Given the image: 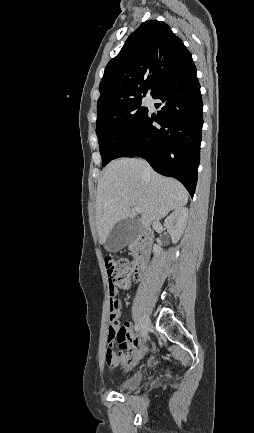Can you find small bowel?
Listing matches in <instances>:
<instances>
[{
  "label": "small bowel",
  "instance_id": "small-bowel-1",
  "mask_svg": "<svg viewBox=\"0 0 254 433\" xmlns=\"http://www.w3.org/2000/svg\"><path fill=\"white\" fill-rule=\"evenodd\" d=\"M128 289V288H127ZM117 290H113L116 298ZM118 314L121 312L120 303L117 306ZM109 335L111 336L110 329ZM120 351L115 353L109 348L105 355L106 363L111 367H121L124 370L132 369L139 361L141 355L146 351V347L140 344L136 334L131 331L130 323H124L117 336Z\"/></svg>",
  "mask_w": 254,
  "mask_h": 433
}]
</instances>
